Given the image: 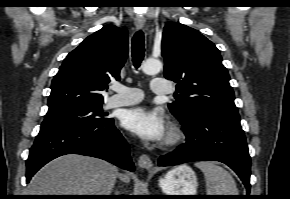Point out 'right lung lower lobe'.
Segmentation results:
<instances>
[{"label": "right lung lower lobe", "instance_id": "98d812e1", "mask_svg": "<svg viewBox=\"0 0 290 199\" xmlns=\"http://www.w3.org/2000/svg\"><path fill=\"white\" fill-rule=\"evenodd\" d=\"M65 154L93 156L134 171L129 146L110 118L101 124L41 129L26 161L27 182L46 163Z\"/></svg>", "mask_w": 290, "mask_h": 199}]
</instances>
